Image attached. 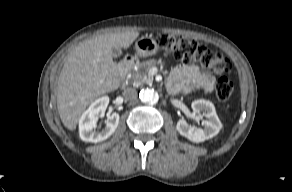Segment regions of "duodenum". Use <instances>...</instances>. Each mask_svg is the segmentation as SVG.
<instances>
[{
	"label": "duodenum",
	"mask_w": 292,
	"mask_h": 192,
	"mask_svg": "<svg viewBox=\"0 0 292 192\" xmlns=\"http://www.w3.org/2000/svg\"><path fill=\"white\" fill-rule=\"evenodd\" d=\"M136 63L134 58L128 57L119 64V75L124 77L132 66Z\"/></svg>",
	"instance_id": "410a0bca"
}]
</instances>
